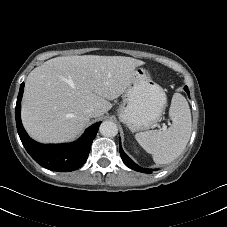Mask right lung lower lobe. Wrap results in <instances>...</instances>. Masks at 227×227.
Segmentation results:
<instances>
[{"label": "right lung lower lobe", "instance_id": "1", "mask_svg": "<svg viewBox=\"0 0 227 227\" xmlns=\"http://www.w3.org/2000/svg\"><path fill=\"white\" fill-rule=\"evenodd\" d=\"M24 83L20 86V91L16 103V125L19 137L29 155L42 167L51 171L68 172L81 167L87 160L91 144L95 138L101 122H98L88 129L73 143L65 144H41L31 139L24 130L21 122V99L23 95Z\"/></svg>", "mask_w": 227, "mask_h": 227}]
</instances>
